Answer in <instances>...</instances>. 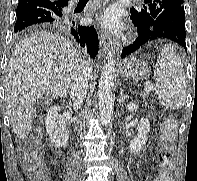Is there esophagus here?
<instances>
[{
  "label": "esophagus",
  "mask_w": 197,
  "mask_h": 181,
  "mask_svg": "<svg viewBox=\"0 0 197 181\" xmlns=\"http://www.w3.org/2000/svg\"><path fill=\"white\" fill-rule=\"evenodd\" d=\"M100 46L104 54L114 53V41L106 32L101 33Z\"/></svg>",
  "instance_id": "1"
}]
</instances>
